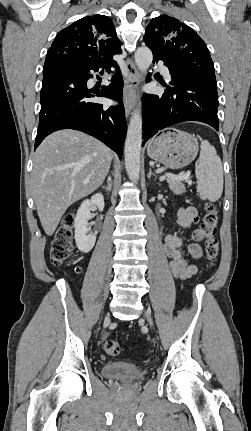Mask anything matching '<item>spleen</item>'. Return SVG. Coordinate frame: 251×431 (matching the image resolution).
Masks as SVG:
<instances>
[{"label": "spleen", "instance_id": "obj_1", "mask_svg": "<svg viewBox=\"0 0 251 431\" xmlns=\"http://www.w3.org/2000/svg\"><path fill=\"white\" fill-rule=\"evenodd\" d=\"M195 173L199 196L212 202L217 201L223 191V168L216 149L208 141H201Z\"/></svg>", "mask_w": 251, "mask_h": 431}]
</instances>
